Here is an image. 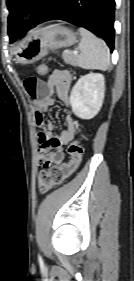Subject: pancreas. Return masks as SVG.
Here are the masks:
<instances>
[{
	"mask_svg": "<svg viewBox=\"0 0 134 281\" xmlns=\"http://www.w3.org/2000/svg\"><path fill=\"white\" fill-rule=\"evenodd\" d=\"M63 60L65 63L70 64L72 66L77 65V56L71 52H63L62 54Z\"/></svg>",
	"mask_w": 134,
	"mask_h": 281,
	"instance_id": "cf45deb5",
	"label": "pancreas"
}]
</instances>
